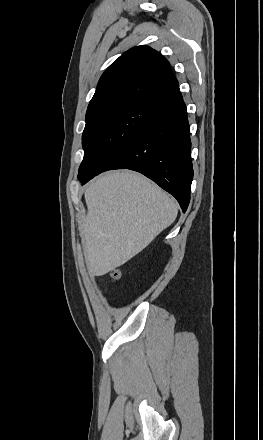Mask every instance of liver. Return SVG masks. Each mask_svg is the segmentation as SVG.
I'll use <instances>...</instances> for the list:
<instances>
[{
	"label": "liver",
	"instance_id": "liver-1",
	"mask_svg": "<svg viewBox=\"0 0 263 440\" xmlns=\"http://www.w3.org/2000/svg\"><path fill=\"white\" fill-rule=\"evenodd\" d=\"M84 197L88 212L80 234L86 265L94 276L125 264L178 214L174 199L132 171L108 172L96 178Z\"/></svg>",
	"mask_w": 263,
	"mask_h": 440
}]
</instances>
